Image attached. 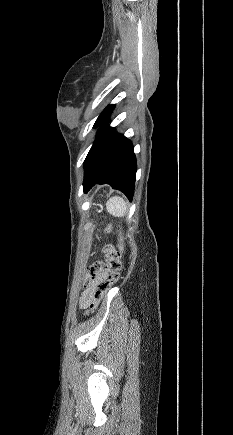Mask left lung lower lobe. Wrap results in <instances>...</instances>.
Here are the masks:
<instances>
[{"label": "left lung lower lobe", "instance_id": "obj_1", "mask_svg": "<svg viewBox=\"0 0 233 435\" xmlns=\"http://www.w3.org/2000/svg\"><path fill=\"white\" fill-rule=\"evenodd\" d=\"M84 191L95 184H110L131 201L136 178V158L130 140L105 127L98 134L84 161Z\"/></svg>", "mask_w": 233, "mask_h": 435}]
</instances>
